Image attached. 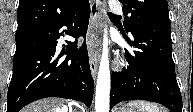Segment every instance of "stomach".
<instances>
[{
  "instance_id": "1",
  "label": "stomach",
  "mask_w": 193,
  "mask_h": 112,
  "mask_svg": "<svg viewBox=\"0 0 193 112\" xmlns=\"http://www.w3.org/2000/svg\"><path fill=\"white\" fill-rule=\"evenodd\" d=\"M117 112H137L135 108L121 107Z\"/></svg>"
}]
</instances>
